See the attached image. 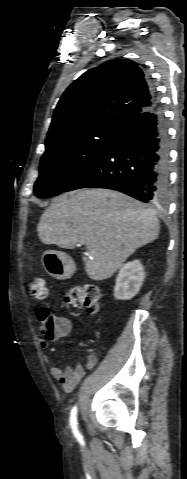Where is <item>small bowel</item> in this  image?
<instances>
[{"label":"small bowel","mask_w":187,"mask_h":479,"mask_svg":"<svg viewBox=\"0 0 187 479\" xmlns=\"http://www.w3.org/2000/svg\"><path fill=\"white\" fill-rule=\"evenodd\" d=\"M55 318L63 327L60 337L68 336L72 329L71 322L63 316H56ZM40 346L43 349L48 348L49 340H41ZM44 360L49 367L52 377L61 383L62 388L66 393H71L74 388L79 384L81 379L84 377L86 371L92 370L97 363V357L91 349L87 350L86 360L84 364L76 362L75 364L68 365L62 368L53 364L49 356L46 354H44Z\"/></svg>","instance_id":"obj_1"}]
</instances>
